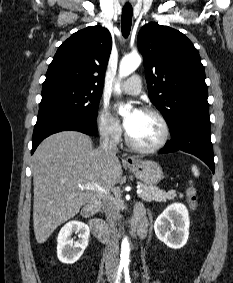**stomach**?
<instances>
[{
    "mask_svg": "<svg viewBox=\"0 0 233 283\" xmlns=\"http://www.w3.org/2000/svg\"><path fill=\"white\" fill-rule=\"evenodd\" d=\"M130 171L144 184L153 186L163 179L161 166L152 160H136L128 164Z\"/></svg>",
    "mask_w": 233,
    "mask_h": 283,
    "instance_id": "obj_1",
    "label": "stomach"
}]
</instances>
